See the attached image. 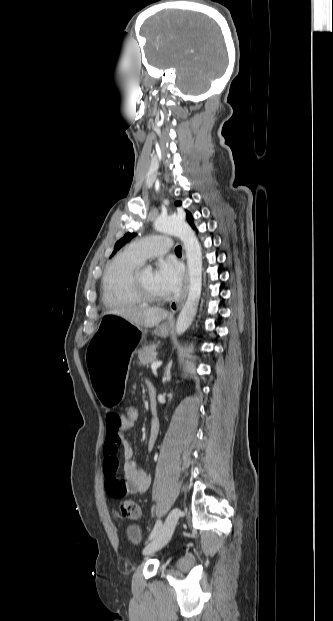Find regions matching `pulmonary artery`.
<instances>
[{
	"label": "pulmonary artery",
	"mask_w": 333,
	"mask_h": 621,
	"mask_svg": "<svg viewBox=\"0 0 333 621\" xmlns=\"http://www.w3.org/2000/svg\"><path fill=\"white\" fill-rule=\"evenodd\" d=\"M170 249L171 239L168 236L156 235L134 241L127 252L142 263L148 258L163 255Z\"/></svg>",
	"instance_id": "obj_1"
}]
</instances>
